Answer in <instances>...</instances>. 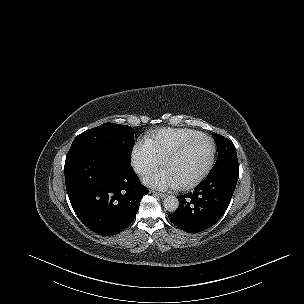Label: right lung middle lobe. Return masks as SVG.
<instances>
[{
    "instance_id": "dd1d6c3e",
    "label": "right lung middle lobe",
    "mask_w": 304,
    "mask_h": 304,
    "mask_svg": "<svg viewBox=\"0 0 304 304\" xmlns=\"http://www.w3.org/2000/svg\"><path fill=\"white\" fill-rule=\"evenodd\" d=\"M133 135L131 126L105 123L79 134L72 145L95 144L108 148L120 163L130 165L131 151L135 144Z\"/></svg>"
}]
</instances>
